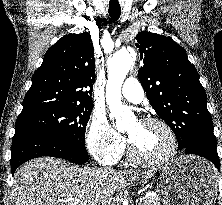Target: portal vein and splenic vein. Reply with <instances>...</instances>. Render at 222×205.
Returning a JSON list of instances; mask_svg holds the SVG:
<instances>
[{"label":"portal vein and splenic vein","instance_id":"obj_1","mask_svg":"<svg viewBox=\"0 0 222 205\" xmlns=\"http://www.w3.org/2000/svg\"><path fill=\"white\" fill-rule=\"evenodd\" d=\"M146 196H150V193H147ZM65 202H67V201H65Z\"/></svg>","mask_w":222,"mask_h":205}]
</instances>
